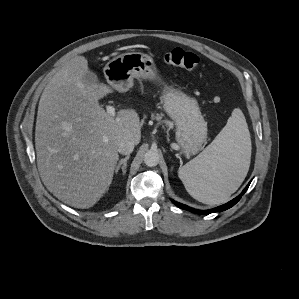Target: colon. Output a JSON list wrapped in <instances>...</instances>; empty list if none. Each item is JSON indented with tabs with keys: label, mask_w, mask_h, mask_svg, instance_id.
<instances>
[{
	"label": "colon",
	"mask_w": 299,
	"mask_h": 299,
	"mask_svg": "<svg viewBox=\"0 0 299 299\" xmlns=\"http://www.w3.org/2000/svg\"><path fill=\"white\" fill-rule=\"evenodd\" d=\"M164 61L167 64L184 68L186 70H195L199 67V57L189 51L181 48H174L164 55Z\"/></svg>",
	"instance_id": "obj_1"
}]
</instances>
